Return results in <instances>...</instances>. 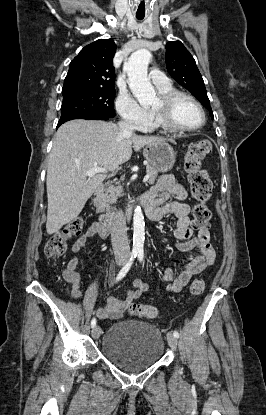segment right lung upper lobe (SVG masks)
Segmentation results:
<instances>
[{"mask_svg":"<svg viewBox=\"0 0 266 415\" xmlns=\"http://www.w3.org/2000/svg\"><path fill=\"white\" fill-rule=\"evenodd\" d=\"M113 39H99L85 46L71 61L62 92L82 88H114Z\"/></svg>","mask_w":266,"mask_h":415,"instance_id":"1","label":"right lung upper lobe"}]
</instances>
